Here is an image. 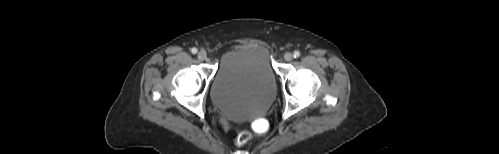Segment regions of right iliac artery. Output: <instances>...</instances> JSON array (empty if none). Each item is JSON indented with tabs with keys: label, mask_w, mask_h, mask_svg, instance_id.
Returning <instances> with one entry per match:
<instances>
[{
	"label": "right iliac artery",
	"mask_w": 499,
	"mask_h": 154,
	"mask_svg": "<svg viewBox=\"0 0 499 154\" xmlns=\"http://www.w3.org/2000/svg\"><path fill=\"white\" fill-rule=\"evenodd\" d=\"M191 52H192L193 54H196V53L198 52V50H197L196 48H192V49H191Z\"/></svg>",
	"instance_id": "82829eb1"
}]
</instances>
